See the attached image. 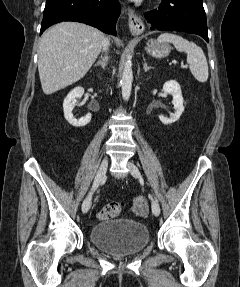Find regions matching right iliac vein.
<instances>
[{
  "instance_id": "obj_1",
  "label": "right iliac vein",
  "mask_w": 240,
  "mask_h": 287,
  "mask_svg": "<svg viewBox=\"0 0 240 287\" xmlns=\"http://www.w3.org/2000/svg\"><path fill=\"white\" fill-rule=\"evenodd\" d=\"M107 167H108V158L105 157L103 159L98 171H97V174H96L94 182H93L92 189H91L90 193L88 194V196L83 201V204H82V212L83 213H87L88 210L90 209L92 194L95 191V189L99 186V184L103 181L104 176H105L106 171H107Z\"/></svg>"
}]
</instances>
